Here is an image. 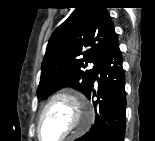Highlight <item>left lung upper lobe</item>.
Here are the masks:
<instances>
[{"label": "left lung upper lobe", "mask_w": 155, "mask_h": 141, "mask_svg": "<svg viewBox=\"0 0 155 141\" xmlns=\"http://www.w3.org/2000/svg\"><path fill=\"white\" fill-rule=\"evenodd\" d=\"M75 10L50 37L42 62L38 98L71 86L87 95L99 61L116 35L104 0H78ZM83 55L79 59L77 56ZM88 63L94 67L83 71ZM115 103V102H114ZM117 108V103L114 104Z\"/></svg>", "instance_id": "left-lung-upper-lobe-1"}]
</instances>
